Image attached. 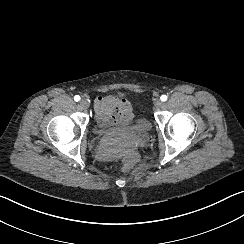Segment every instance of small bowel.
I'll return each instance as SVG.
<instances>
[{"label": "small bowel", "instance_id": "c3829d8e", "mask_svg": "<svg viewBox=\"0 0 244 244\" xmlns=\"http://www.w3.org/2000/svg\"><path fill=\"white\" fill-rule=\"evenodd\" d=\"M95 113L104 127L127 125L133 119L130 103L116 96H103L95 100Z\"/></svg>", "mask_w": 244, "mask_h": 244}]
</instances>
